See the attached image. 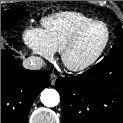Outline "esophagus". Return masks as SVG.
Returning a JSON list of instances; mask_svg holds the SVG:
<instances>
[{"label": "esophagus", "instance_id": "1", "mask_svg": "<svg viewBox=\"0 0 123 123\" xmlns=\"http://www.w3.org/2000/svg\"><path fill=\"white\" fill-rule=\"evenodd\" d=\"M56 79H57V76L54 73H52L50 75V83H51V85H55Z\"/></svg>", "mask_w": 123, "mask_h": 123}]
</instances>
